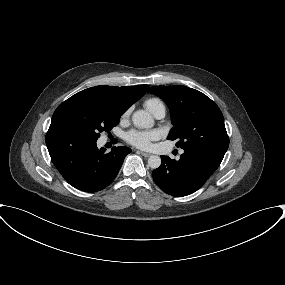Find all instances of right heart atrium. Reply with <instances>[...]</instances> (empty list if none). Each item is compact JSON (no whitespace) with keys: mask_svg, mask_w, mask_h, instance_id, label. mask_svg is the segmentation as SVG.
I'll use <instances>...</instances> for the list:
<instances>
[{"mask_svg":"<svg viewBox=\"0 0 285 285\" xmlns=\"http://www.w3.org/2000/svg\"><path fill=\"white\" fill-rule=\"evenodd\" d=\"M128 114V112H126L125 114H124V116H126Z\"/></svg>","mask_w":285,"mask_h":285,"instance_id":"obj_1","label":"right heart atrium"}]
</instances>
